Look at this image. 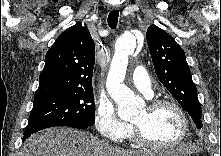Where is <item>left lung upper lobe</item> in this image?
<instances>
[{
    "mask_svg": "<svg viewBox=\"0 0 221 156\" xmlns=\"http://www.w3.org/2000/svg\"><path fill=\"white\" fill-rule=\"evenodd\" d=\"M147 43L159 81L180 103L200 129L201 105L183 49L155 25L147 29Z\"/></svg>",
    "mask_w": 221,
    "mask_h": 156,
    "instance_id": "obj_1",
    "label": "left lung upper lobe"
}]
</instances>
